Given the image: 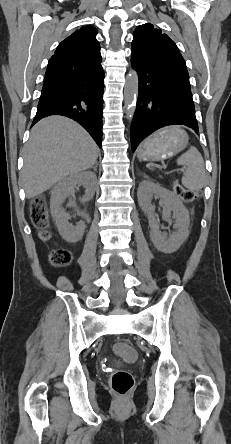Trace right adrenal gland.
<instances>
[{"label": "right adrenal gland", "instance_id": "obj_1", "mask_svg": "<svg viewBox=\"0 0 231 444\" xmlns=\"http://www.w3.org/2000/svg\"><path fill=\"white\" fill-rule=\"evenodd\" d=\"M97 163L92 167V169H94V171L96 172L97 171Z\"/></svg>", "mask_w": 231, "mask_h": 444}]
</instances>
